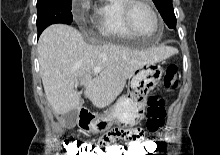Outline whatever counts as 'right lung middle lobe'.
<instances>
[{"instance_id": "1", "label": "right lung middle lobe", "mask_w": 220, "mask_h": 155, "mask_svg": "<svg viewBox=\"0 0 220 155\" xmlns=\"http://www.w3.org/2000/svg\"><path fill=\"white\" fill-rule=\"evenodd\" d=\"M72 0H37V29L41 32L55 23L71 24Z\"/></svg>"}]
</instances>
